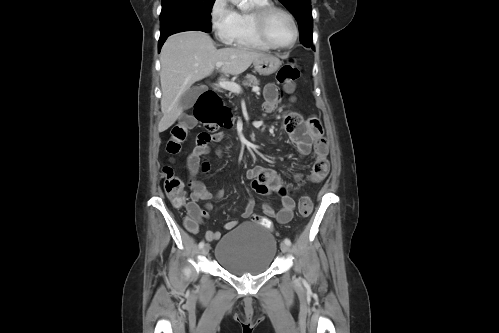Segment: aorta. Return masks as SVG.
Wrapping results in <instances>:
<instances>
[{
  "instance_id": "1",
  "label": "aorta",
  "mask_w": 499,
  "mask_h": 333,
  "mask_svg": "<svg viewBox=\"0 0 499 333\" xmlns=\"http://www.w3.org/2000/svg\"><path fill=\"white\" fill-rule=\"evenodd\" d=\"M232 4L236 5L241 10H246L249 8L248 0H229Z\"/></svg>"
}]
</instances>
